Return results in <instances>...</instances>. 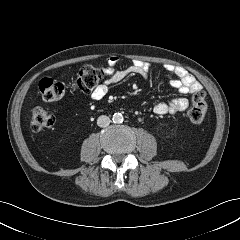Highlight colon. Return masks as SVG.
<instances>
[{"instance_id":"5ec220e1","label":"colon","mask_w":240,"mask_h":240,"mask_svg":"<svg viewBox=\"0 0 240 240\" xmlns=\"http://www.w3.org/2000/svg\"><path fill=\"white\" fill-rule=\"evenodd\" d=\"M102 77L103 72L100 69L93 65H84L79 69L77 77L72 83V88L79 92H90L100 85ZM39 91L44 101L54 102L64 96L66 86L55 79L44 78L40 81ZM206 110V95L203 91H198L192 97L188 112L189 120L193 124H201L205 119ZM53 124L54 117L47 110L42 107H36L32 110L30 127L33 131H43L51 128Z\"/></svg>"}]
</instances>
